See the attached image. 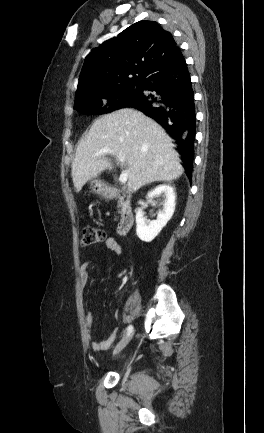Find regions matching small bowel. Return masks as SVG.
<instances>
[{"label":"small bowel","instance_id":"small-bowel-1","mask_svg":"<svg viewBox=\"0 0 264 433\" xmlns=\"http://www.w3.org/2000/svg\"><path fill=\"white\" fill-rule=\"evenodd\" d=\"M104 244L105 247L112 253L119 255L121 254V246L119 245V243L114 239V238H106L104 240ZM92 262V258L87 259L80 267V271H79V278H80V282L82 285H86L89 282L90 279V275L88 272V267ZM86 320V325L88 327L92 326L93 323V318L90 314H88L85 318ZM119 329L115 328L111 331L109 337L103 341H93L91 343V346L93 348L94 351H105L107 349H109L111 347V345L116 341V339L119 336Z\"/></svg>","mask_w":264,"mask_h":433}]
</instances>
